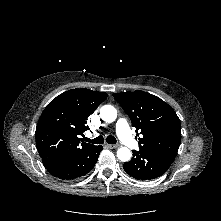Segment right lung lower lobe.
I'll return each instance as SVG.
<instances>
[{"label": "right lung lower lobe", "mask_w": 221, "mask_h": 221, "mask_svg": "<svg viewBox=\"0 0 221 221\" xmlns=\"http://www.w3.org/2000/svg\"><path fill=\"white\" fill-rule=\"evenodd\" d=\"M102 150L101 145L86 147L60 157L49 166H46V169L57 178L63 180L76 179L84 176L94 167Z\"/></svg>", "instance_id": "right-lung-lower-lobe-1"}]
</instances>
